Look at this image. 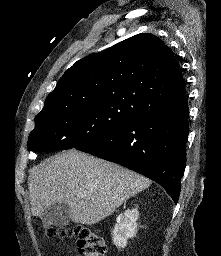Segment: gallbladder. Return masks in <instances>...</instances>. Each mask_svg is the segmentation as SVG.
<instances>
[{
	"label": "gallbladder",
	"mask_w": 221,
	"mask_h": 256,
	"mask_svg": "<svg viewBox=\"0 0 221 256\" xmlns=\"http://www.w3.org/2000/svg\"><path fill=\"white\" fill-rule=\"evenodd\" d=\"M45 228L50 226L63 227L70 221L69 206L66 203L53 204L41 216Z\"/></svg>",
	"instance_id": "1"
}]
</instances>
